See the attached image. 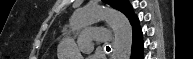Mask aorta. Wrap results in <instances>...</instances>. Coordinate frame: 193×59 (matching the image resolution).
<instances>
[{"instance_id":"1","label":"aorta","mask_w":193,"mask_h":59,"mask_svg":"<svg viewBox=\"0 0 193 59\" xmlns=\"http://www.w3.org/2000/svg\"><path fill=\"white\" fill-rule=\"evenodd\" d=\"M106 19L113 32V58L129 59L132 48V27L129 20L119 11L97 4H88L77 9L70 19L72 30H76ZM58 56L62 59H82L73 39H64L59 46Z\"/></svg>"}]
</instances>
